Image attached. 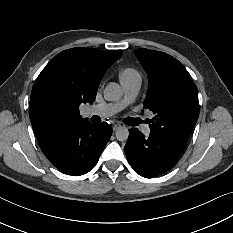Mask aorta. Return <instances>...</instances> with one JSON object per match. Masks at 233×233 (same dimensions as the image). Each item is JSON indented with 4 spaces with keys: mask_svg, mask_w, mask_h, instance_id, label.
Returning <instances> with one entry per match:
<instances>
[{
    "mask_svg": "<svg viewBox=\"0 0 233 233\" xmlns=\"http://www.w3.org/2000/svg\"><path fill=\"white\" fill-rule=\"evenodd\" d=\"M122 96V89L119 84L115 82H110L107 84L104 90V98L107 101H117ZM116 138L119 141H126L129 136V131L127 127H121L120 129L116 130L115 132Z\"/></svg>",
    "mask_w": 233,
    "mask_h": 233,
    "instance_id": "1",
    "label": "aorta"
}]
</instances>
